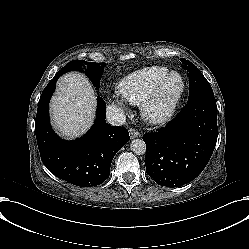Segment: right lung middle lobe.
I'll list each match as a JSON object with an SVG mask.
<instances>
[{
	"instance_id": "dd1d6c3e",
	"label": "right lung middle lobe",
	"mask_w": 249,
	"mask_h": 249,
	"mask_svg": "<svg viewBox=\"0 0 249 249\" xmlns=\"http://www.w3.org/2000/svg\"><path fill=\"white\" fill-rule=\"evenodd\" d=\"M82 64L86 65V75L92 80L95 86H100V79L104 71L106 63L86 62L83 60H73L63 67L58 73H66L68 71H83Z\"/></svg>"
}]
</instances>
